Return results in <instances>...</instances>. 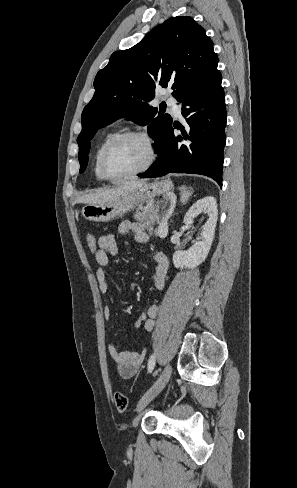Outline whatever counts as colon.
<instances>
[{
  "mask_svg": "<svg viewBox=\"0 0 297 488\" xmlns=\"http://www.w3.org/2000/svg\"><path fill=\"white\" fill-rule=\"evenodd\" d=\"M86 241H87L89 251L92 254H95L98 250L97 238L93 234L89 233V234H87ZM114 402H115V405L119 411L126 410L127 405H128V399L124 393H122V392L115 393Z\"/></svg>",
  "mask_w": 297,
  "mask_h": 488,
  "instance_id": "5ec220e1",
  "label": "colon"
}]
</instances>
